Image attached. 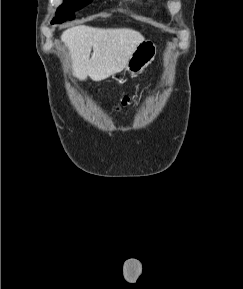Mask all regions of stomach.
Returning a JSON list of instances; mask_svg holds the SVG:
<instances>
[{
    "instance_id": "obj_1",
    "label": "stomach",
    "mask_w": 243,
    "mask_h": 289,
    "mask_svg": "<svg viewBox=\"0 0 243 289\" xmlns=\"http://www.w3.org/2000/svg\"><path fill=\"white\" fill-rule=\"evenodd\" d=\"M156 45L150 40H144L131 54L125 70L131 74L141 73L155 58Z\"/></svg>"
}]
</instances>
